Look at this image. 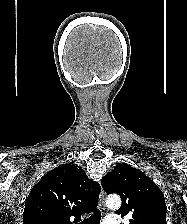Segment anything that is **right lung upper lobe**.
<instances>
[{
    "instance_id": "1",
    "label": "right lung upper lobe",
    "mask_w": 187,
    "mask_h": 224,
    "mask_svg": "<svg viewBox=\"0 0 187 224\" xmlns=\"http://www.w3.org/2000/svg\"><path fill=\"white\" fill-rule=\"evenodd\" d=\"M100 185L79 167L64 164L48 172L31 189L25 203L23 224H77L81 215L98 203Z\"/></svg>"
}]
</instances>
